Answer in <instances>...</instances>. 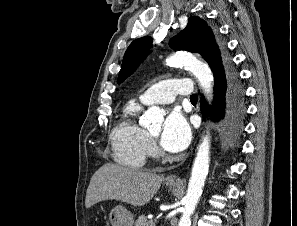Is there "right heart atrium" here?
Wrapping results in <instances>:
<instances>
[{
  "label": "right heart atrium",
  "mask_w": 297,
  "mask_h": 226,
  "mask_svg": "<svg viewBox=\"0 0 297 226\" xmlns=\"http://www.w3.org/2000/svg\"><path fill=\"white\" fill-rule=\"evenodd\" d=\"M148 154L155 155L156 154V145L152 139H150L148 144Z\"/></svg>",
  "instance_id": "1"
}]
</instances>
